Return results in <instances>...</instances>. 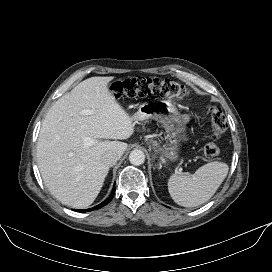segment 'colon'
I'll return each instance as SVG.
<instances>
[{
  "label": "colon",
  "instance_id": "obj_1",
  "mask_svg": "<svg viewBox=\"0 0 272 272\" xmlns=\"http://www.w3.org/2000/svg\"><path fill=\"white\" fill-rule=\"evenodd\" d=\"M110 91L116 98H143L156 95L166 98H183L188 95L185 86L170 80L160 78L136 77L115 81L110 86ZM209 113L212 121L213 138L217 139L227 129V120L218 107L211 106ZM220 152L219 146L214 143L206 144L204 154L207 158H214Z\"/></svg>",
  "mask_w": 272,
  "mask_h": 272
}]
</instances>
